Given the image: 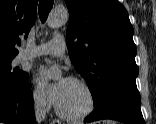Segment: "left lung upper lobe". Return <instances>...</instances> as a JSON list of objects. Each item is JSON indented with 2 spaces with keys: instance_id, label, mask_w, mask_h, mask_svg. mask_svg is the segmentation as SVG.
Returning <instances> with one entry per match:
<instances>
[{
  "instance_id": "left-lung-upper-lobe-1",
  "label": "left lung upper lobe",
  "mask_w": 156,
  "mask_h": 124,
  "mask_svg": "<svg viewBox=\"0 0 156 124\" xmlns=\"http://www.w3.org/2000/svg\"><path fill=\"white\" fill-rule=\"evenodd\" d=\"M71 62L85 79L94 106L114 97L141 102L133 27L117 0H65Z\"/></svg>"
}]
</instances>
